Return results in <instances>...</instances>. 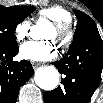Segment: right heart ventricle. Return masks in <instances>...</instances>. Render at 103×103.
<instances>
[{
    "mask_svg": "<svg viewBox=\"0 0 103 103\" xmlns=\"http://www.w3.org/2000/svg\"><path fill=\"white\" fill-rule=\"evenodd\" d=\"M40 18L48 19L52 22L70 21L71 14L61 6H51L39 12Z\"/></svg>",
    "mask_w": 103,
    "mask_h": 103,
    "instance_id": "1",
    "label": "right heart ventricle"
}]
</instances>
